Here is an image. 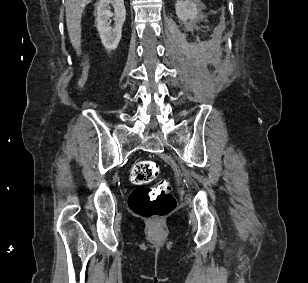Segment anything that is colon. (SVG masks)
Listing matches in <instances>:
<instances>
[{"label":"colon","instance_id":"obj_1","mask_svg":"<svg viewBox=\"0 0 308 283\" xmlns=\"http://www.w3.org/2000/svg\"><path fill=\"white\" fill-rule=\"evenodd\" d=\"M89 72V57L85 55L79 67L77 85L83 87L87 81ZM159 174V166L156 162L142 160L131 169L129 177L133 184L139 187L133 190L129 198L131 211L141 217L157 219L173 211L176 205L172 194L171 184L160 181L157 184L146 187L154 181Z\"/></svg>","mask_w":308,"mask_h":283}]
</instances>
